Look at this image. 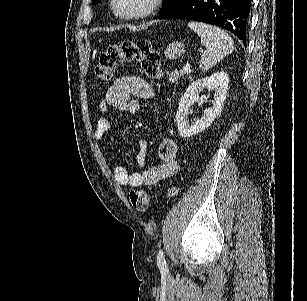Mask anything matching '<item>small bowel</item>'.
Listing matches in <instances>:
<instances>
[{
	"label": "small bowel",
	"instance_id": "1",
	"mask_svg": "<svg viewBox=\"0 0 307 301\" xmlns=\"http://www.w3.org/2000/svg\"><path fill=\"white\" fill-rule=\"evenodd\" d=\"M155 95L154 89L144 79L137 76L120 77L107 90L105 97L99 103V111L106 113L110 107L120 110L136 112L140 109V100H149ZM110 121L101 117L96 124L95 137L102 141L110 129ZM148 146L144 140L137 145V161L144 165ZM161 163L140 173L130 174L123 166H116L113 170L115 182L121 186L138 187L141 185L153 186L177 173L178 147L172 139H164L158 149Z\"/></svg>",
	"mask_w": 307,
	"mask_h": 301
}]
</instances>
